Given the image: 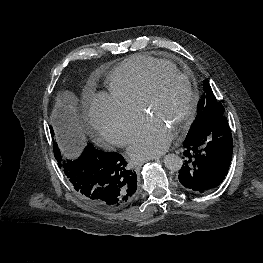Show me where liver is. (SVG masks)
I'll return each instance as SVG.
<instances>
[{"label":"liver","mask_w":263,"mask_h":263,"mask_svg":"<svg viewBox=\"0 0 263 263\" xmlns=\"http://www.w3.org/2000/svg\"><path fill=\"white\" fill-rule=\"evenodd\" d=\"M77 101V97L72 92L64 91L59 93L56 97V116L74 119ZM67 134L73 137L74 130L68 127Z\"/></svg>","instance_id":"1"}]
</instances>
